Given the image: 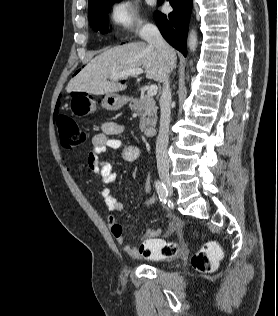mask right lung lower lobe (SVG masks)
Masks as SVG:
<instances>
[{
  "label": "right lung lower lobe",
  "mask_w": 278,
  "mask_h": 316,
  "mask_svg": "<svg viewBox=\"0 0 278 316\" xmlns=\"http://www.w3.org/2000/svg\"><path fill=\"white\" fill-rule=\"evenodd\" d=\"M168 1L173 7V12L164 15L157 11L154 14L155 21L165 40L186 57V33L192 11V0ZM159 2L161 4L163 0H159Z\"/></svg>",
  "instance_id": "right-lung-lower-lobe-1"
}]
</instances>
